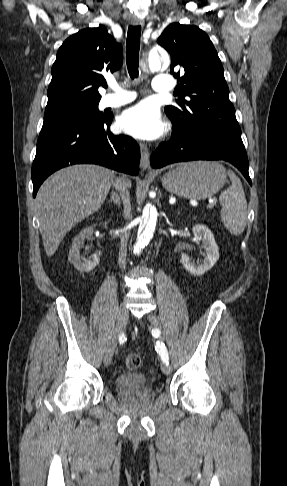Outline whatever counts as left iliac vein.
<instances>
[{"mask_svg":"<svg viewBox=\"0 0 287 486\" xmlns=\"http://www.w3.org/2000/svg\"><path fill=\"white\" fill-rule=\"evenodd\" d=\"M147 318H148L149 322L151 323V325L158 332H160V328H161V320H160V318L157 315H155L154 313H149L147 315ZM161 369H162V372L164 374H166V375H169L172 372V367H171V365L169 363L168 364L164 363L162 365V368Z\"/></svg>","mask_w":287,"mask_h":486,"instance_id":"left-iliac-vein-1","label":"left iliac vein"}]
</instances>
